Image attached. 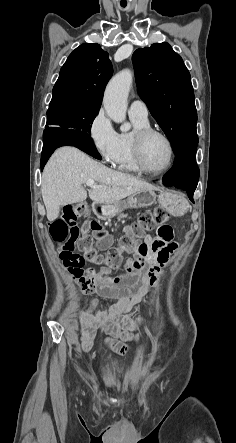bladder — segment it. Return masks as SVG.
<instances>
[{"label": "bladder", "instance_id": "bladder-1", "mask_svg": "<svg viewBox=\"0 0 236 443\" xmlns=\"http://www.w3.org/2000/svg\"><path fill=\"white\" fill-rule=\"evenodd\" d=\"M121 371L120 362L112 357H105L100 362V372L104 376L115 375Z\"/></svg>", "mask_w": 236, "mask_h": 443}]
</instances>
